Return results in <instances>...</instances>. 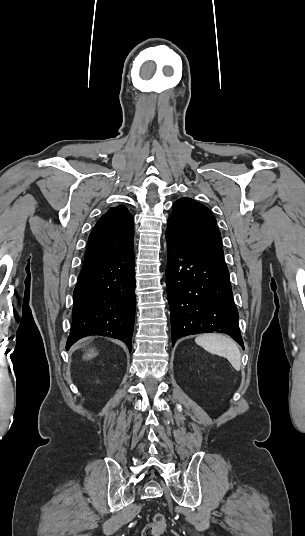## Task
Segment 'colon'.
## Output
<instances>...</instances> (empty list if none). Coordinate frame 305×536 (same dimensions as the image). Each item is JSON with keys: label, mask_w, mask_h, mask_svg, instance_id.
Returning a JSON list of instances; mask_svg holds the SVG:
<instances>
[{"label": "colon", "mask_w": 305, "mask_h": 536, "mask_svg": "<svg viewBox=\"0 0 305 536\" xmlns=\"http://www.w3.org/2000/svg\"><path fill=\"white\" fill-rule=\"evenodd\" d=\"M167 528V518L163 514L152 516L151 522L148 523L143 531L142 536H163Z\"/></svg>", "instance_id": "obj_1"}]
</instances>
